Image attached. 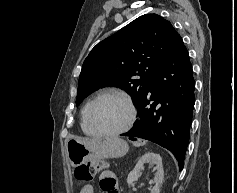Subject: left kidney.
<instances>
[{
	"mask_svg": "<svg viewBox=\"0 0 237 193\" xmlns=\"http://www.w3.org/2000/svg\"><path fill=\"white\" fill-rule=\"evenodd\" d=\"M145 163L156 165V173L154 177L155 186L151 189L150 193H160V184H162L164 179L162 158L159 154L153 152H148L140 158L135 168L128 174L127 183L131 186L134 181L138 180L142 174L141 171Z\"/></svg>",
	"mask_w": 237,
	"mask_h": 193,
	"instance_id": "5707ae66",
	"label": "left kidney"
}]
</instances>
